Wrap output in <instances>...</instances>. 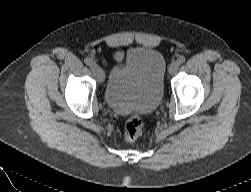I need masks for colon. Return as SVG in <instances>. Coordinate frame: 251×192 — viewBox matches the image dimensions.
<instances>
[{
    "instance_id": "5ec220e1",
    "label": "colon",
    "mask_w": 251,
    "mask_h": 192,
    "mask_svg": "<svg viewBox=\"0 0 251 192\" xmlns=\"http://www.w3.org/2000/svg\"><path fill=\"white\" fill-rule=\"evenodd\" d=\"M143 133V121L139 115H134L125 124L124 136L128 142L137 140Z\"/></svg>"
}]
</instances>
